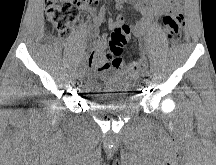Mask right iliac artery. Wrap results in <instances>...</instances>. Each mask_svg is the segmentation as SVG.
<instances>
[{"instance_id": "obj_1", "label": "right iliac artery", "mask_w": 216, "mask_h": 165, "mask_svg": "<svg viewBox=\"0 0 216 165\" xmlns=\"http://www.w3.org/2000/svg\"><path fill=\"white\" fill-rule=\"evenodd\" d=\"M83 65H84V62L83 61H80L79 63H78V68H83Z\"/></svg>"}]
</instances>
